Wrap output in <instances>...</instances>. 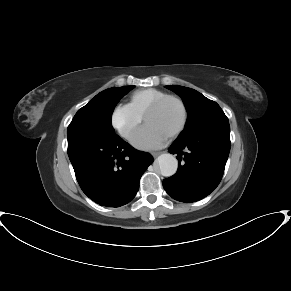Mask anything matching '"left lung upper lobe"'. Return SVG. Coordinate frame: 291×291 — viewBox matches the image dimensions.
Returning a JSON list of instances; mask_svg holds the SVG:
<instances>
[{
    "mask_svg": "<svg viewBox=\"0 0 291 291\" xmlns=\"http://www.w3.org/2000/svg\"><path fill=\"white\" fill-rule=\"evenodd\" d=\"M166 88L181 96L188 113L185 128L177 139L188 138L214 126L229 124L220 106L198 91L178 85Z\"/></svg>",
    "mask_w": 291,
    "mask_h": 291,
    "instance_id": "5c2ea615",
    "label": "left lung upper lobe"
}]
</instances>
